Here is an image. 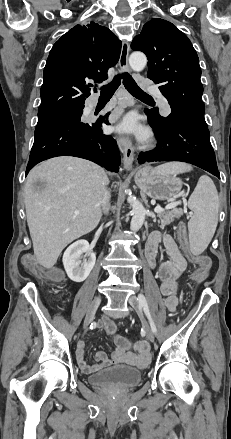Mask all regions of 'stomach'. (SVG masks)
Wrapping results in <instances>:
<instances>
[{
    "label": "stomach",
    "instance_id": "1",
    "mask_svg": "<svg viewBox=\"0 0 231 439\" xmlns=\"http://www.w3.org/2000/svg\"><path fill=\"white\" fill-rule=\"evenodd\" d=\"M134 179L141 192L152 199L170 200L177 197L183 182L173 174L158 173L150 166L134 171Z\"/></svg>",
    "mask_w": 231,
    "mask_h": 439
}]
</instances>
